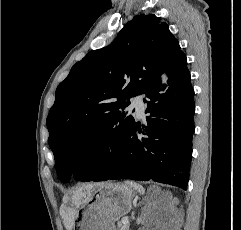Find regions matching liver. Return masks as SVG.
<instances>
[{"label": "liver", "mask_w": 241, "mask_h": 230, "mask_svg": "<svg viewBox=\"0 0 241 230\" xmlns=\"http://www.w3.org/2000/svg\"><path fill=\"white\" fill-rule=\"evenodd\" d=\"M84 197V199H82ZM89 196L86 197L85 193L77 192L73 195L72 200L76 205V208H66L65 206H62L61 208V216L63 219V224L67 230H72L75 222V216L77 213V208L85 203L88 200ZM69 200L68 196H65L63 199L64 203H67Z\"/></svg>", "instance_id": "1"}]
</instances>
